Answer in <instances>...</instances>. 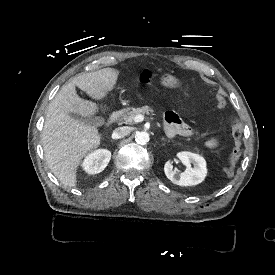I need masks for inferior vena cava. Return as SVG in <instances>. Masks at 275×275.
<instances>
[{
    "label": "inferior vena cava",
    "instance_id": "inferior-vena-cava-1",
    "mask_svg": "<svg viewBox=\"0 0 275 275\" xmlns=\"http://www.w3.org/2000/svg\"><path fill=\"white\" fill-rule=\"evenodd\" d=\"M130 132H131L130 127H119L113 131L112 138L113 139L123 138L124 136L130 134Z\"/></svg>",
    "mask_w": 275,
    "mask_h": 275
}]
</instances>
